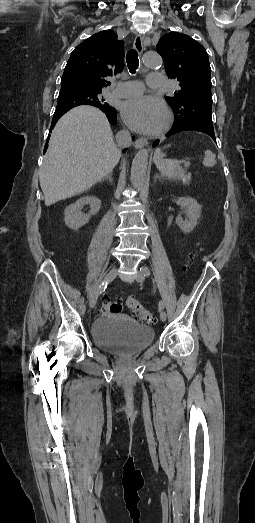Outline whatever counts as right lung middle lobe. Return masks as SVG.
Returning a JSON list of instances; mask_svg holds the SVG:
<instances>
[{"instance_id": "dd1d6c3e", "label": "right lung middle lobe", "mask_w": 255, "mask_h": 523, "mask_svg": "<svg viewBox=\"0 0 255 523\" xmlns=\"http://www.w3.org/2000/svg\"><path fill=\"white\" fill-rule=\"evenodd\" d=\"M101 92L84 90H60L58 102H91L101 99Z\"/></svg>"}]
</instances>
